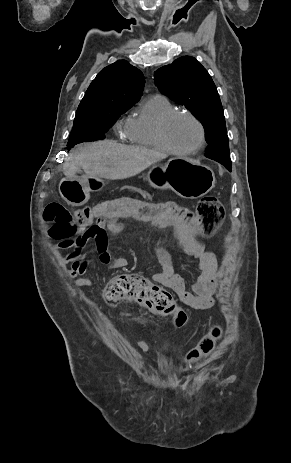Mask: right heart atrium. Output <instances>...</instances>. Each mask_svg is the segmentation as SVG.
<instances>
[{
    "mask_svg": "<svg viewBox=\"0 0 291 463\" xmlns=\"http://www.w3.org/2000/svg\"><path fill=\"white\" fill-rule=\"evenodd\" d=\"M119 134L123 138L127 137V124L120 128Z\"/></svg>",
    "mask_w": 291,
    "mask_h": 463,
    "instance_id": "obj_1",
    "label": "right heart atrium"
}]
</instances>
